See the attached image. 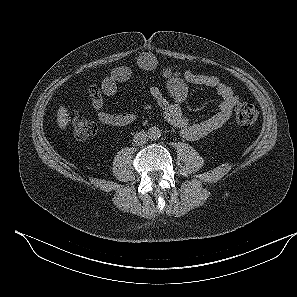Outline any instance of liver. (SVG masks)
<instances>
[{"label": "liver", "mask_w": 297, "mask_h": 297, "mask_svg": "<svg viewBox=\"0 0 297 297\" xmlns=\"http://www.w3.org/2000/svg\"><path fill=\"white\" fill-rule=\"evenodd\" d=\"M69 122L68 110L61 106L57 111V124L59 128L65 129Z\"/></svg>", "instance_id": "obj_1"}]
</instances>
